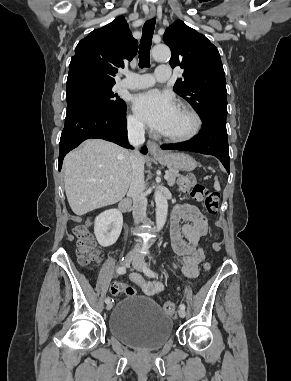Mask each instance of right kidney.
I'll list each match as a JSON object with an SVG mask.
<instances>
[{
    "mask_svg": "<svg viewBox=\"0 0 291 381\" xmlns=\"http://www.w3.org/2000/svg\"><path fill=\"white\" fill-rule=\"evenodd\" d=\"M123 217L119 210L110 209L102 212L95 219L94 234L103 247L113 245L120 236Z\"/></svg>",
    "mask_w": 291,
    "mask_h": 381,
    "instance_id": "right-kidney-1",
    "label": "right kidney"
}]
</instances>
